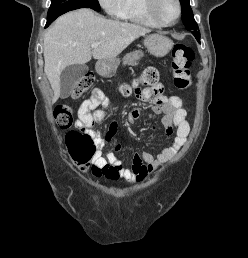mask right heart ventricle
<instances>
[{"instance_id": "e07e8e85", "label": "right heart ventricle", "mask_w": 248, "mask_h": 258, "mask_svg": "<svg viewBox=\"0 0 248 258\" xmlns=\"http://www.w3.org/2000/svg\"><path fill=\"white\" fill-rule=\"evenodd\" d=\"M120 18L136 24L157 27L146 13L145 0H125Z\"/></svg>"}]
</instances>
